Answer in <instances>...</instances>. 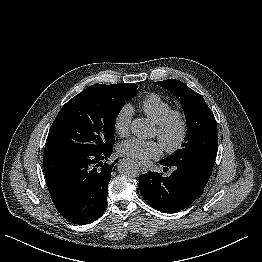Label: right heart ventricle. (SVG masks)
I'll use <instances>...</instances> for the list:
<instances>
[{"instance_id": "1", "label": "right heart ventricle", "mask_w": 262, "mask_h": 262, "mask_svg": "<svg viewBox=\"0 0 262 262\" xmlns=\"http://www.w3.org/2000/svg\"><path fill=\"white\" fill-rule=\"evenodd\" d=\"M142 112L156 124L172 110V105L157 93H150L140 102Z\"/></svg>"}]
</instances>
